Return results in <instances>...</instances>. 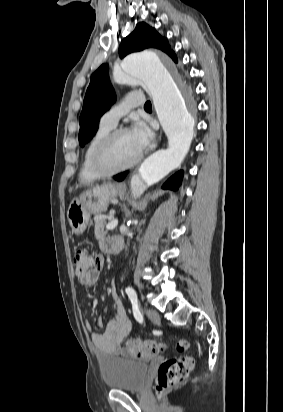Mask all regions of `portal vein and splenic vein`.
Segmentation results:
<instances>
[{
  "instance_id": "portal-vein-and-splenic-vein-1",
  "label": "portal vein and splenic vein",
  "mask_w": 283,
  "mask_h": 412,
  "mask_svg": "<svg viewBox=\"0 0 283 412\" xmlns=\"http://www.w3.org/2000/svg\"><path fill=\"white\" fill-rule=\"evenodd\" d=\"M117 224H118V220L113 219L106 225V229L107 230H113L117 226Z\"/></svg>"
}]
</instances>
